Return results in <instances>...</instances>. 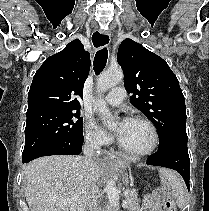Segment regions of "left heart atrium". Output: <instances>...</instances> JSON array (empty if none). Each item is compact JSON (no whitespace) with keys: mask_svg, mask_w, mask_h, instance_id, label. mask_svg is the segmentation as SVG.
Here are the masks:
<instances>
[{"mask_svg":"<svg viewBox=\"0 0 209 211\" xmlns=\"http://www.w3.org/2000/svg\"><path fill=\"white\" fill-rule=\"evenodd\" d=\"M131 122H132V120L130 118H127V117L123 118L121 120V122L119 123V125H118V127L115 131V134H116L118 139L122 138V136L124 135V133L128 129Z\"/></svg>","mask_w":209,"mask_h":211,"instance_id":"1","label":"left heart atrium"}]
</instances>
